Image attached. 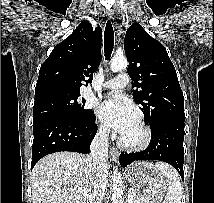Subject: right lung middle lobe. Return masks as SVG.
Segmentation results:
<instances>
[{
  "instance_id": "right-lung-middle-lobe-1",
  "label": "right lung middle lobe",
  "mask_w": 214,
  "mask_h": 203,
  "mask_svg": "<svg viewBox=\"0 0 214 203\" xmlns=\"http://www.w3.org/2000/svg\"><path fill=\"white\" fill-rule=\"evenodd\" d=\"M80 93H51L35 98L33 122L47 117H66L87 120L93 115L92 109H85V100Z\"/></svg>"
}]
</instances>
